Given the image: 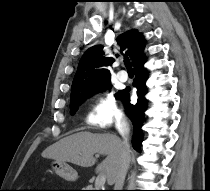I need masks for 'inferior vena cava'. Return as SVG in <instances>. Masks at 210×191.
Segmentation results:
<instances>
[{
	"instance_id": "602c4592",
	"label": "inferior vena cava",
	"mask_w": 210,
	"mask_h": 191,
	"mask_svg": "<svg viewBox=\"0 0 210 191\" xmlns=\"http://www.w3.org/2000/svg\"><path fill=\"white\" fill-rule=\"evenodd\" d=\"M116 128L123 138L121 158L118 170L114 179V190H122L125 176L130 164V145H129V124L125 118H121L116 125Z\"/></svg>"
}]
</instances>
